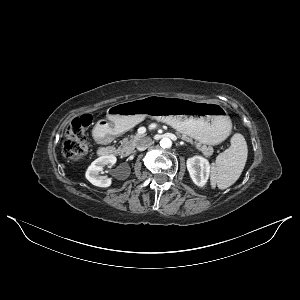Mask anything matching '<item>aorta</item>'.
<instances>
[{"label": "aorta", "mask_w": 300, "mask_h": 300, "mask_svg": "<svg viewBox=\"0 0 300 300\" xmlns=\"http://www.w3.org/2000/svg\"><path fill=\"white\" fill-rule=\"evenodd\" d=\"M160 146L162 147V148H166V149H168V148H170L171 146H172V141H171V139L170 138H168V137H164V138H162L161 140H160Z\"/></svg>", "instance_id": "1"}]
</instances>
